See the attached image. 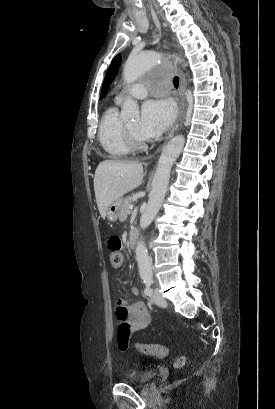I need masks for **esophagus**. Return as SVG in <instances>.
<instances>
[{
	"instance_id": "obj_1",
	"label": "esophagus",
	"mask_w": 275,
	"mask_h": 409,
	"mask_svg": "<svg viewBox=\"0 0 275 409\" xmlns=\"http://www.w3.org/2000/svg\"><path fill=\"white\" fill-rule=\"evenodd\" d=\"M180 84H179V117L177 123L174 124L173 128L169 132L168 136L166 137V141L171 139L175 134L176 130L179 128V120L184 118V109H185V102H186V80L182 73L179 75Z\"/></svg>"
}]
</instances>
